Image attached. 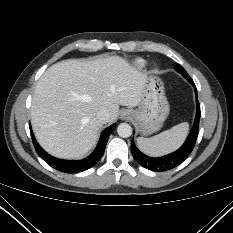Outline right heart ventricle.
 I'll use <instances>...</instances> for the list:
<instances>
[{
    "mask_svg": "<svg viewBox=\"0 0 233 233\" xmlns=\"http://www.w3.org/2000/svg\"><path fill=\"white\" fill-rule=\"evenodd\" d=\"M144 64H145V62H144L143 60H141V59H138V60L136 61V65H137L138 67H143Z\"/></svg>",
    "mask_w": 233,
    "mask_h": 233,
    "instance_id": "right-heart-ventricle-1",
    "label": "right heart ventricle"
}]
</instances>
